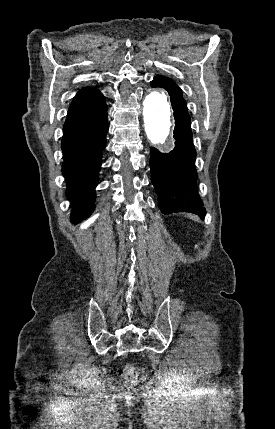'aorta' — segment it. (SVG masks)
Listing matches in <instances>:
<instances>
[{
  "label": "aorta",
  "mask_w": 275,
  "mask_h": 429,
  "mask_svg": "<svg viewBox=\"0 0 275 429\" xmlns=\"http://www.w3.org/2000/svg\"><path fill=\"white\" fill-rule=\"evenodd\" d=\"M145 131L154 144L165 143L172 128L171 105L164 89H150L143 102Z\"/></svg>",
  "instance_id": "obj_1"
}]
</instances>
